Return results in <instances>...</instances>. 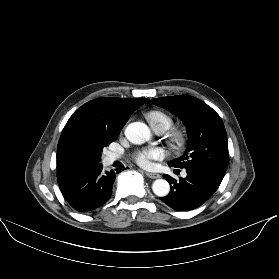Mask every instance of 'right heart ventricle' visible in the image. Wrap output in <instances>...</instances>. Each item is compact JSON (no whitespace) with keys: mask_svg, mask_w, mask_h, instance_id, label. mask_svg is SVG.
<instances>
[{"mask_svg":"<svg viewBox=\"0 0 279 279\" xmlns=\"http://www.w3.org/2000/svg\"><path fill=\"white\" fill-rule=\"evenodd\" d=\"M146 118L153 127V129H160L162 131L167 130L171 127L173 120L172 118L159 110H152L146 114Z\"/></svg>","mask_w":279,"mask_h":279,"instance_id":"e07e8e85","label":"right heart ventricle"}]
</instances>
